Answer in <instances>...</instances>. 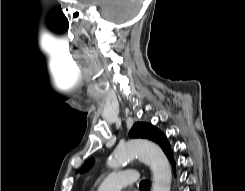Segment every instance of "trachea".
<instances>
[{
    "label": "trachea",
    "mask_w": 245,
    "mask_h": 191,
    "mask_svg": "<svg viewBox=\"0 0 245 191\" xmlns=\"http://www.w3.org/2000/svg\"><path fill=\"white\" fill-rule=\"evenodd\" d=\"M139 188L142 191H147L150 188V183L148 180H143L139 184Z\"/></svg>",
    "instance_id": "1"
}]
</instances>
